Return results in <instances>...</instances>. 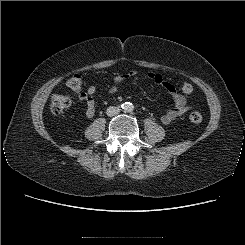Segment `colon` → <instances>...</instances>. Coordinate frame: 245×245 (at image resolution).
<instances>
[{"label": "colon", "mask_w": 245, "mask_h": 245, "mask_svg": "<svg viewBox=\"0 0 245 245\" xmlns=\"http://www.w3.org/2000/svg\"><path fill=\"white\" fill-rule=\"evenodd\" d=\"M66 87L73 92H82L83 80L81 75L74 74L66 81ZM193 91V86L190 83H183L181 92L184 95H189ZM71 105V99L68 96L56 94L52 97L50 109L54 114H60L66 111ZM189 119L194 124L202 122V115L198 111H192L189 114Z\"/></svg>", "instance_id": "5ec220e1"}]
</instances>
